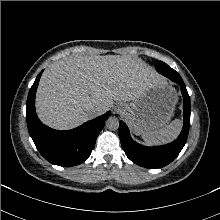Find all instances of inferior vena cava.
Returning a JSON list of instances; mask_svg holds the SVG:
<instances>
[{
    "mask_svg": "<svg viewBox=\"0 0 220 220\" xmlns=\"http://www.w3.org/2000/svg\"><path fill=\"white\" fill-rule=\"evenodd\" d=\"M90 117H96L100 114L101 112V108L98 107V106H90L88 109H87Z\"/></svg>",
    "mask_w": 220,
    "mask_h": 220,
    "instance_id": "obj_1",
    "label": "inferior vena cava"
}]
</instances>
